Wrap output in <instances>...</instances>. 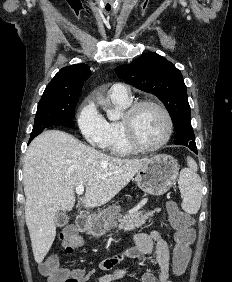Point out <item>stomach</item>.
<instances>
[{"instance_id":"stomach-1","label":"stomach","mask_w":232,"mask_h":282,"mask_svg":"<svg viewBox=\"0 0 232 282\" xmlns=\"http://www.w3.org/2000/svg\"><path fill=\"white\" fill-rule=\"evenodd\" d=\"M178 171V163L173 157L159 154L146 161L137 172L135 180L138 187L145 193L161 196L175 184ZM119 212L120 208L116 205L108 207L98 216L87 221V232L95 237L104 235Z\"/></svg>"}]
</instances>
